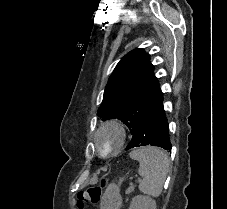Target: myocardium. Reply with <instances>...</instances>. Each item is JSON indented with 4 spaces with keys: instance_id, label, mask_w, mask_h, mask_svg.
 <instances>
[{
    "instance_id": "myocardium-1",
    "label": "myocardium",
    "mask_w": 227,
    "mask_h": 209,
    "mask_svg": "<svg viewBox=\"0 0 227 209\" xmlns=\"http://www.w3.org/2000/svg\"><path fill=\"white\" fill-rule=\"evenodd\" d=\"M108 127H112L117 131L119 139H118V144L114 149H112L106 153H103L98 149L97 144H96V139H97V136L99 135V133ZM126 139H127V130H126L124 124L117 119L109 118V119H105V120L101 121L98 124V126L95 128V130L92 133L91 142H92V146H93L95 152L99 156H101L103 158H107V157L117 154L123 148V146L126 142Z\"/></svg>"
}]
</instances>
